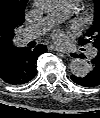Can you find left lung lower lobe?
Instances as JSON below:
<instances>
[{"label": "left lung lower lobe", "instance_id": "1", "mask_svg": "<svg viewBox=\"0 0 100 118\" xmlns=\"http://www.w3.org/2000/svg\"><path fill=\"white\" fill-rule=\"evenodd\" d=\"M78 55L73 54V57H77ZM80 57H84L83 54ZM92 70L85 77H77L75 75L71 76V79L78 85L84 87H94L100 85V49L98 50L95 58L91 60Z\"/></svg>", "mask_w": 100, "mask_h": 118}]
</instances>
